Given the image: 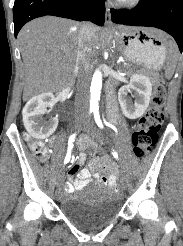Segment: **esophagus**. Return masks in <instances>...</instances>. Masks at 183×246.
<instances>
[{
    "mask_svg": "<svg viewBox=\"0 0 183 246\" xmlns=\"http://www.w3.org/2000/svg\"><path fill=\"white\" fill-rule=\"evenodd\" d=\"M105 22L106 24H111V8L109 3H106Z\"/></svg>",
    "mask_w": 183,
    "mask_h": 246,
    "instance_id": "esophagus-1",
    "label": "esophagus"
}]
</instances>
